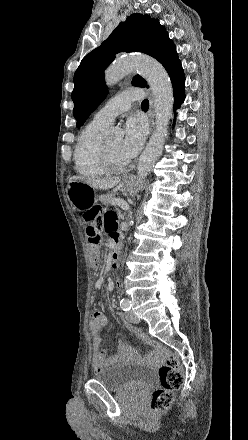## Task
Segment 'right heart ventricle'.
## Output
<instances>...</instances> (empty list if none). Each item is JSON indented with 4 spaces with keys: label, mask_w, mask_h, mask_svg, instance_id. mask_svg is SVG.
<instances>
[{
    "label": "right heart ventricle",
    "mask_w": 248,
    "mask_h": 440,
    "mask_svg": "<svg viewBox=\"0 0 248 440\" xmlns=\"http://www.w3.org/2000/svg\"><path fill=\"white\" fill-rule=\"evenodd\" d=\"M106 125L91 121L82 130L74 151L76 171L84 176L99 177L108 173L102 160V134Z\"/></svg>",
    "instance_id": "1"
}]
</instances>
